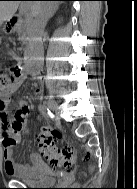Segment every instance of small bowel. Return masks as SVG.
I'll use <instances>...</instances> for the list:
<instances>
[{"label":"small bowel","mask_w":137,"mask_h":189,"mask_svg":"<svg viewBox=\"0 0 137 189\" xmlns=\"http://www.w3.org/2000/svg\"><path fill=\"white\" fill-rule=\"evenodd\" d=\"M30 74L26 68L21 70L20 79H25ZM8 101L5 98H0V139L4 147V169L8 175H28L32 168L28 165L18 164L15 161L14 144L21 140V132H14L11 129V124L17 119L23 121V126L26 123L25 114L27 111L26 103L20 100L18 103V111L11 118L8 115ZM31 160L35 163L39 161V156L36 153L31 154Z\"/></svg>","instance_id":"small-bowel-1"}]
</instances>
